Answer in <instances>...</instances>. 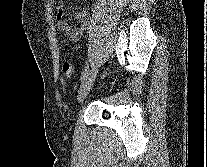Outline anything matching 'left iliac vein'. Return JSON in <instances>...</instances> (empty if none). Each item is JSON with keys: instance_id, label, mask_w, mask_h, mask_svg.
<instances>
[{"instance_id": "4c4485c4", "label": "left iliac vein", "mask_w": 207, "mask_h": 167, "mask_svg": "<svg viewBox=\"0 0 207 167\" xmlns=\"http://www.w3.org/2000/svg\"><path fill=\"white\" fill-rule=\"evenodd\" d=\"M98 69L93 68L87 76L84 78V80L81 83L79 93H78V101L82 102L86 96L88 95L97 75Z\"/></svg>"}]
</instances>
